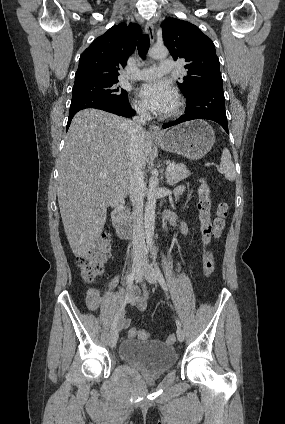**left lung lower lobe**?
<instances>
[{
    "label": "left lung lower lobe",
    "mask_w": 285,
    "mask_h": 424,
    "mask_svg": "<svg viewBox=\"0 0 285 424\" xmlns=\"http://www.w3.org/2000/svg\"><path fill=\"white\" fill-rule=\"evenodd\" d=\"M194 119L215 121L229 133L223 86L210 85L195 90L193 94L187 97L185 114L175 121L163 124V128Z\"/></svg>",
    "instance_id": "1"
}]
</instances>
